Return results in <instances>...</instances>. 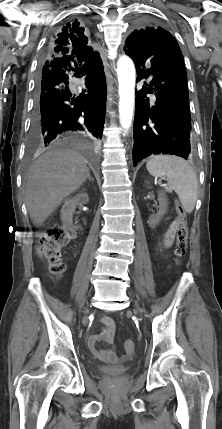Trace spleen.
Listing matches in <instances>:
<instances>
[{
	"instance_id": "3e777b00",
	"label": "spleen",
	"mask_w": 222,
	"mask_h": 429,
	"mask_svg": "<svg viewBox=\"0 0 222 429\" xmlns=\"http://www.w3.org/2000/svg\"><path fill=\"white\" fill-rule=\"evenodd\" d=\"M146 168L155 177H166L169 188L177 193L187 213L194 210L198 181L195 171L187 161L177 156L155 155L148 160Z\"/></svg>"
}]
</instances>
